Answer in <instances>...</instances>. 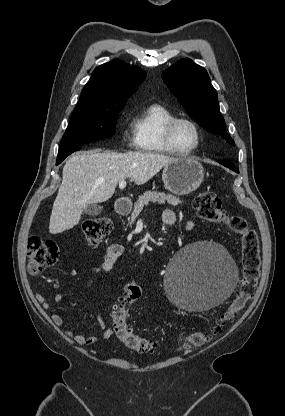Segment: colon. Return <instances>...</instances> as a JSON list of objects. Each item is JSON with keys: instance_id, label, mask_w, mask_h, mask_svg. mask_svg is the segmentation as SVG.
Masks as SVG:
<instances>
[{"instance_id": "obj_1", "label": "colon", "mask_w": 285, "mask_h": 416, "mask_svg": "<svg viewBox=\"0 0 285 416\" xmlns=\"http://www.w3.org/2000/svg\"><path fill=\"white\" fill-rule=\"evenodd\" d=\"M196 214L203 220L221 225L240 236L242 255V278L228 309L216 320L215 326L208 332L196 331L185 339V347H197L207 343L220 332L221 327L232 321L245 307L254 294L261 273L259 238L255 230L238 216L227 214L220 198L211 191H203L194 198ZM81 229L88 245L97 247L112 229L107 218H89L82 222ZM59 256L58 246L51 240L32 235L28 240V271L38 276L53 265ZM141 288L135 283L125 286L123 295L111 312L113 328L117 339L129 349L138 353H152L158 348L156 341L140 336L130 325V308L141 297Z\"/></svg>"}]
</instances>
